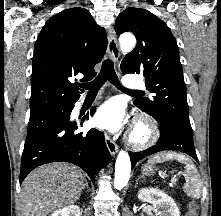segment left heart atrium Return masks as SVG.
I'll return each instance as SVG.
<instances>
[{"label": "left heart atrium", "mask_w": 221, "mask_h": 216, "mask_svg": "<svg viewBox=\"0 0 221 216\" xmlns=\"http://www.w3.org/2000/svg\"><path fill=\"white\" fill-rule=\"evenodd\" d=\"M93 123L96 127L110 132L120 130L126 123V116L122 104L116 100L104 103L97 109Z\"/></svg>", "instance_id": "1"}]
</instances>
